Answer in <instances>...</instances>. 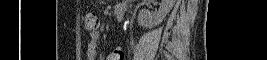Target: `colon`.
Masks as SVG:
<instances>
[{
	"instance_id": "5ec220e1",
	"label": "colon",
	"mask_w": 267,
	"mask_h": 60,
	"mask_svg": "<svg viewBox=\"0 0 267 60\" xmlns=\"http://www.w3.org/2000/svg\"><path fill=\"white\" fill-rule=\"evenodd\" d=\"M99 25L98 17L93 13H87L84 18L85 30L88 33H95Z\"/></svg>"
}]
</instances>
